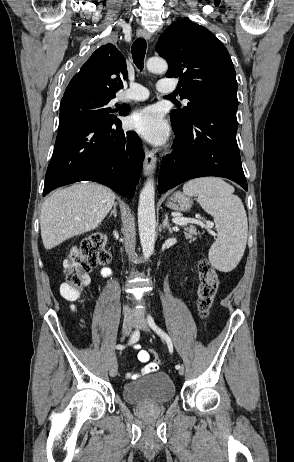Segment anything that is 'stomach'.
Here are the masks:
<instances>
[{"label": "stomach", "instance_id": "1", "mask_svg": "<svg viewBox=\"0 0 294 462\" xmlns=\"http://www.w3.org/2000/svg\"><path fill=\"white\" fill-rule=\"evenodd\" d=\"M167 206L177 211H187L192 207L190 197L180 192H175L167 201Z\"/></svg>", "mask_w": 294, "mask_h": 462}]
</instances>
